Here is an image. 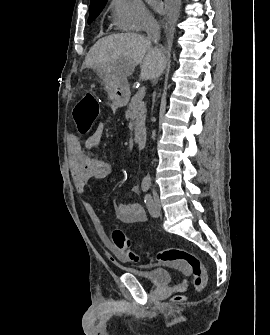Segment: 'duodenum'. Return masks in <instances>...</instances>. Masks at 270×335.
<instances>
[{"mask_svg":"<svg viewBox=\"0 0 270 335\" xmlns=\"http://www.w3.org/2000/svg\"><path fill=\"white\" fill-rule=\"evenodd\" d=\"M135 142L140 149H144L146 147V136L142 133H139L135 137Z\"/></svg>","mask_w":270,"mask_h":335,"instance_id":"1","label":"duodenum"}]
</instances>
